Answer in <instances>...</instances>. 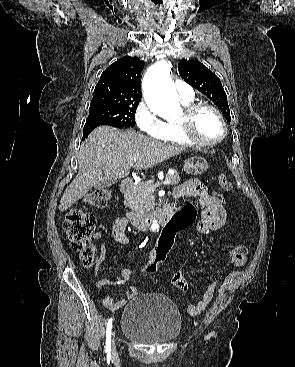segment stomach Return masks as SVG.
Listing matches in <instances>:
<instances>
[{
    "instance_id": "1",
    "label": "stomach",
    "mask_w": 295,
    "mask_h": 367,
    "mask_svg": "<svg viewBox=\"0 0 295 367\" xmlns=\"http://www.w3.org/2000/svg\"><path fill=\"white\" fill-rule=\"evenodd\" d=\"M208 169L207 161L202 157H192L185 161L184 171L190 175H199Z\"/></svg>"
}]
</instances>
